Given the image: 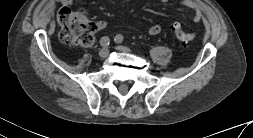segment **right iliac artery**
Wrapping results in <instances>:
<instances>
[{"mask_svg": "<svg viewBox=\"0 0 253 138\" xmlns=\"http://www.w3.org/2000/svg\"><path fill=\"white\" fill-rule=\"evenodd\" d=\"M109 44H110V38H109V37L104 36V37L101 38V40H100V45H101L102 47H108Z\"/></svg>", "mask_w": 253, "mask_h": 138, "instance_id": "right-iliac-artery-1", "label": "right iliac artery"}]
</instances>
